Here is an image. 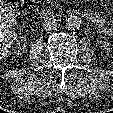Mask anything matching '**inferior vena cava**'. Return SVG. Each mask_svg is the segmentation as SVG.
<instances>
[{
    "instance_id": "602c4592",
    "label": "inferior vena cava",
    "mask_w": 113,
    "mask_h": 113,
    "mask_svg": "<svg viewBox=\"0 0 113 113\" xmlns=\"http://www.w3.org/2000/svg\"><path fill=\"white\" fill-rule=\"evenodd\" d=\"M43 27L46 31L56 30L60 27V22L55 18H47L43 23Z\"/></svg>"
}]
</instances>
